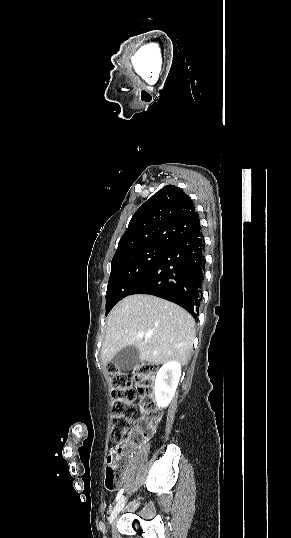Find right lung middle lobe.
Returning <instances> with one entry per match:
<instances>
[{
    "instance_id": "1",
    "label": "right lung middle lobe",
    "mask_w": 291,
    "mask_h": 538,
    "mask_svg": "<svg viewBox=\"0 0 291 538\" xmlns=\"http://www.w3.org/2000/svg\"><path fill=\"white\" fill-rule=\"evenodd\" d=\"M170 246L149 245L113 257L106 292V315L147 276Z\"/></svg>"
}]
</instances>
